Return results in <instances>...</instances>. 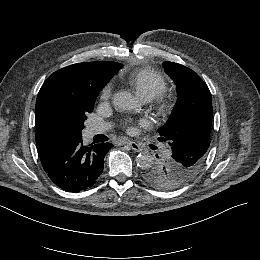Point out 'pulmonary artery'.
I'll return each instance as SVG.
<instances>
[{"instance_id": "pulmonary-artery-1", "label": "pulmonary artery", "mask_w": 260, "mask_h": 260, "mask_svg": "<svg viewBox=\"0 0 260 260\" xmlns=\"http://www.w3.org/2000/svg\"><path fill=\"white\" fill-rule=\"evenodd\" d=\"M109 124L103 122H90L86 126L87 138H92L97 134L104 133L109 129Z\"/></svg>"}]
</instances>
